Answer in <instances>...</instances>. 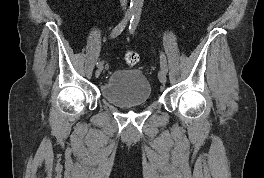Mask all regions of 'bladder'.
I'll list each match as a JSON object with an SVG mask.
<instances>
[{
	"label": "bladder",
	"instance_id": "31cf9c89",
	"mask_svg": "<svg viewBox=\"0 0 264 178\" xmlns=\"http://www.w3.org/2000/svg\"><path fill=\"white\" fill-rule=\"evenodd\" d=\"M101 97L119 108L146 104L151 98V86L145 75L132 69L112 72L101 85Z\"/></svg>",
	"mask_w": 264,
	"mask_h": 178
}]
</instances>
